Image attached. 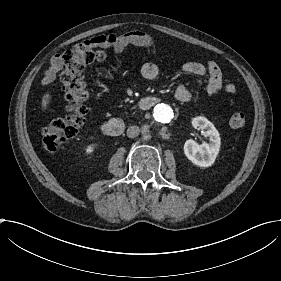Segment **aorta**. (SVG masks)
<instances>
[{
    "mask_svg": "<svg viewBox=\"0 0 281 281\" xmlns=\"http://www.w3.org/2000/svg\"><path fill=\"white\" fill-rule=\"evenodd\" d=\"M154 120L157 124L162 125L171 122L174 117L172 108L167 104H157L153 110Z\"/></svg>",
    "mask_w": 281,
    "mask_h": 281,
    "instance_id": "1",
    "label": "aorta"
}]
</instances>
